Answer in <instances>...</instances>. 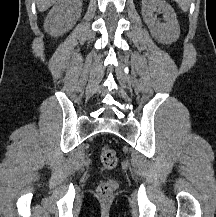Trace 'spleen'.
Segmentation results:
<instances>
[{
	"label": "spleen",
	"mask_w": 216,
	"mask_h": 217,
	"mask_svg": "<svg viewBox=\"0 0 216 217\" xmlns=\"http://www.w3.org/2000/svg\"><path fill=\"white\" fill-rule=\"evenodd\" d=\"M173 1L177 2L183 11L185 12L188 11L190 6V0H173Z\"/></svg>",
	"instance_id": "obj_1"
}]
</instances>
